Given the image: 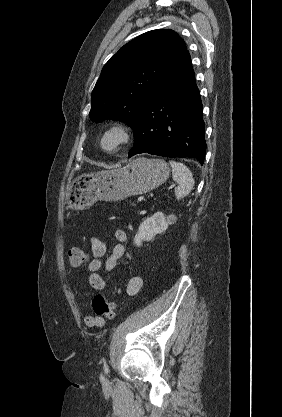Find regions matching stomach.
<instances>
[{
	"instance_id": "obj_1",
	"label": "stomach",
	"mask_w": 282,
	"mask_h": 417,
	"mask_svg": "<svg viewBox=\"0 0 282 417\" xmlns=\"http://www.w3.org/2000/svg\"><path fill=\"white\" fill-rule=\"evenodd\" d=\"M169 170L162 158L138 156L122 168L99 170L76 178L67 194V204L72 211H85L96 200H123L144 194L163 184Z\"/></svg>"
}]
</instances>
